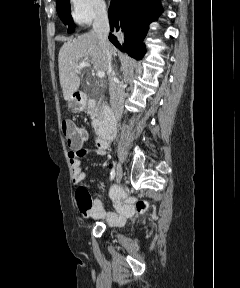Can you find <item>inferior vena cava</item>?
Returning <instances> with one entry per match:
<instances>
[{
	"label": "inferior vena cava",
	"mask_w": 240,
	"mask_h": 288,
	"mask_svg": "<svg viewBox=\"0 0 240 288\" xmlns=\"http://www.w3.org/2000/svg\"><path fill=\"white\" fill-rule=\"evenodd\" d=\"M109 19L108 13L105 8H102L98 11L94 22H93V32L98 37L103 53L106 56L107 61V72L110 77L111 82V114L106 120V125H114L117 120L121 117L123 112L124 104V91L120 84L116 81L115 73L112 68V45L108 40L109 35Z\"/></svg>",
	"instance_id": "602c4592"
}]
</instances>
